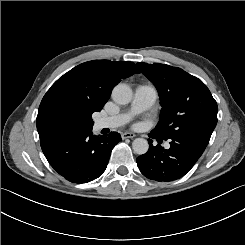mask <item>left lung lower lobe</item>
Segmentation results:
<instances>
[{
    "label": "left lung lower lobe",
    "instance_id": "obj_1",
    "mask_svg": "<svg viewBox=\"0 0 245 245\" xmlns=\"http://www.w3.org/2000/svg\"><path fill=\"white\" fill-rule=\"evenodd\" d=\"M149 136L158 138L157 141L162 142L163 138L157 136L153 131ZM169 140L170 148L164 149L159 144L153 146L152 140L149 139L148 152L136 159L141 173L148 179L159 182L180 179L190 171L207 146L184 138Z\"/></svg>",
    "mask_w": 245,
    "mask_h": 245
}]
</instances>
